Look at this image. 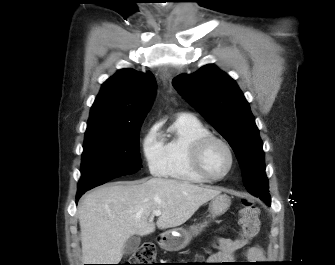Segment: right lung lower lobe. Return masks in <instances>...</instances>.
Segmentation results:
<instances>
[{
    "mask_svg": "<svg viewBox=\"0 0 335 265\" xmlns=\"http://www.w3.org/2000/svg\"><path fill=\"white\" fill-rule=\"evenodd\" d=\"M87 190L79 191L76 196V200L78 201L80 197L86 192Z\"/></svg>",
    "mask_w": 335,
    "mask_h": 265,
    "instance_id": "obj_1",
    "label": "right lung lower lobe"
}]
</instances>
